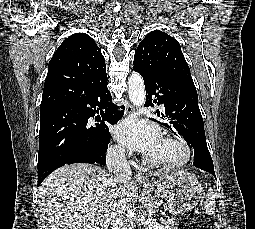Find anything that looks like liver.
<instances>
[{"label": "liver", "instance_id": "6515ba94", "mask_svg": "<svg viewBox=\"0 0 255 229\" xmlns=\"http://www.w3.org/2000/svg\"><path fill=\"white\" fill-rule=\"evenodd\" d=\"M121 198L134 206L136 183L131 179L121 185L87 163L58 168L38 188L39 207L51 229H108Z\"/></svg>", "mask_w": 255, "mask_h": 229}]
</instances>
